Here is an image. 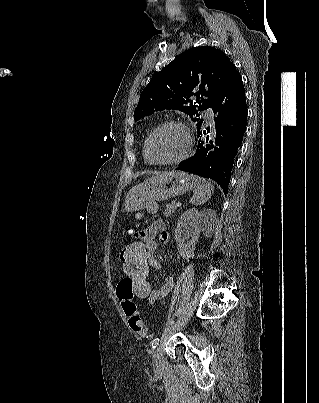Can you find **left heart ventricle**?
I'll list each match as a JSON object with an SVG mask.
<instances>
[{
	"instance_id": "left-heart-ventricle-1",
	"label": "left heart ventricle",
	"mask_w": 319,
	"mask_h": 403,
	"mask_svg": "<svg viewBox=\"0 0 319 403\" xmlns=\"http://www.w3.org/2000/svg\"><path fill=\"white\" fill-rule=\"evenodd\" d=\"M186 146L183 131L175 126H167L154 136L150 153L155 160H170L180 156Z\"/></svg>"
}]
</instances>
